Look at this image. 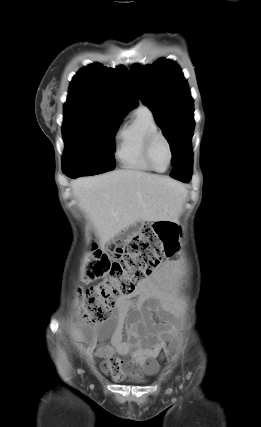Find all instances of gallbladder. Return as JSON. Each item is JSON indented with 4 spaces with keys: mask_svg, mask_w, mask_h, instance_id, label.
Returning <instances> with one entry per match:
<instances>
[{
    "mask_svg": "<svg viewBox=\"0 0 261 427\" xmlns=\"http://www.w3.org/2000/svg\"><path fill=\"white\" fill-rule=\"evenodd\" d=\"M114 241H111L110 243L107 244V246H110L111 244H113Z\"/></svg>",
    "mask_w": 261,
    "mask_h": 427,
    "instance_id": "bac80fb5",
    "label": "gallbladder"
}]
</instances>
